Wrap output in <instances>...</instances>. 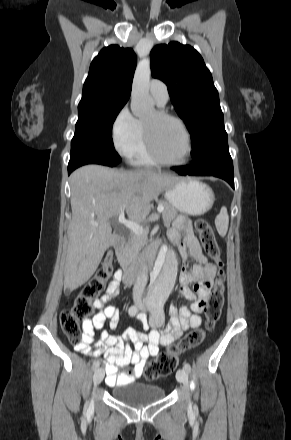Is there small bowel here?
Segmentation results:
<instances>
[{
  "mask_svg": "<svg viewBox=\"0 0 291 440\" xmlns=\"http://www.w3.org/2000/svg\"><path fill=\"white\" fill-rule=\"evenodd\" d=\"M167 236L170 243L179 248L184 258L189 253L197 262L190 272L181 270L179 277V293L191 301L192 305L190 308L183 306L180 309L170 305L168 312L171 324L169 328L161 332L152 329L144 335L134 329H128L121 337H112L103 331L100 340L95 342V330L101 329L107 320L111 330H116L119 326V313L113 306L107 305V302L117 295L123 277L122 272L117 271L105 294L94 302L97 312L92 319L83 322L82 342L75 345L76 351L85 354L92 353L93 356L104 354L106 384L108 386L124 385L135 377L141 376L149 359L159 354L161 346L173 343L184 330L197 328L201 324V318L198 314L207 305L208 281L216 275L217 268L203 253L187 219H177L168 230ZM192 282H195L193 291L188 288V284ZM137 319L146 325L145 315L139 314ZM129 364L134 365L133 372L125 370Z\"/></svg>",
  "mask_w": 291,
  "mask_h": 440,
  "instance_id": "c3829d8e",
  "label": "small bowel"
}]
</instances>
